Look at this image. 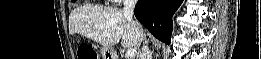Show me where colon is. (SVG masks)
<instances>
[{
    "instance_id": "colon-1",
    "label": "colon",
    "mask_w": 261,
    "mask_h": 59,
    "mask_svg": "<svg viewBox=\"0 0 261 59\" xmlns=\"http://www.w3.org/2000/svg\"><path fill=\"white\" fill-rule=\"evenodd\" d=\"M79 59H97L96 52L91 47H81L78 51Z\"/></svg>"
}]
</instances>
